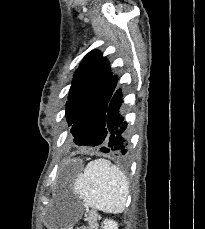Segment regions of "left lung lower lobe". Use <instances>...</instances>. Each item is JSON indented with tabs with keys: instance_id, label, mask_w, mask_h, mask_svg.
<instances>
[{
	"instance_id": "1",
	"label": "left lung lower lobe",
	"mask_w": 205,
	"mask_h": 229,
	"mask_svg": "<svg viewBox=\"0 0 205 229\" xmlns=\"http://www.w3.org/2000/svg\"><path fill=\"white\" fill-rule=\"evenodd\" d=\"M122 103L121 90H115L107 107L104 128L92 134V141L101 143L100 151L113 157L125 159L129 155L127 123L119 116Z\"/></svg>"
}]
</instances>
